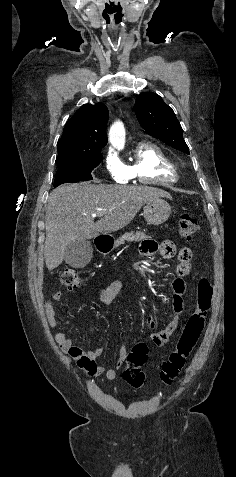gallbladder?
<instances>
[{"mask_svg":"<svg viewBox=\"0 0 236 477\" xmlns=\"http://www.w3.org/2000/svg\"><path fill=\"white\" fill-rule=\"evenodd\" d=\"M92 254L93 248L89 240H75L68 244L64 260L73 268H83L90 262Z\"/></svg>","mask_w":236,"mask_h":477,"instance_id":"1","label":"gallbladder"}]
</instances>
